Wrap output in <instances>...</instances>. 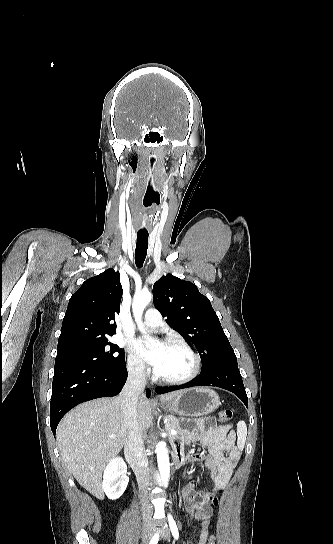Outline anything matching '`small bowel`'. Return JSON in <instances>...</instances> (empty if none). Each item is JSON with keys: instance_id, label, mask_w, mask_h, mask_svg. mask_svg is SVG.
Masks as SVG:
<instances>
[{"instance_id": "c3829d8e", "label": "small bowel", "mask_w": 333, "mask_h": 544, "mask_svg": "<svg viewBox=\"0 0 333 544\" xmlns=\"http://www.w3.org/2000/svg\"><path fill=\"white\" fill-rule=\"evenodd\" d=\"M193 427L185 429L180 439L174 443L175 451L180 453L183 462H201L208 470L213 491L196 490L192 480L183 489V502L188 521H200L199 543L205 544L212 521L213 509L210 505L217 491L224 489L240 459L241 450L235 444L236 434L228 426H217L213 418L204 417L192 421ZM198 442L203 448L193 455H185L183 446Z\"/></svg>"}]
</instances>
